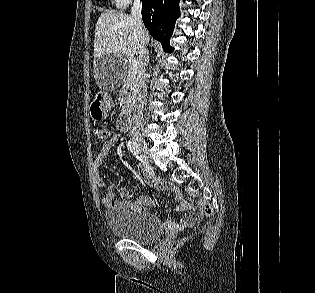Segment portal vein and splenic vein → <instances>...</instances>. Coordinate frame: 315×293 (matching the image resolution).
I'll return each instance as SVG.
<instances>
[{"instance_id":"1","label":"portal vein and splenic vein","mask_w":315,"mask_h":293,"mask_svg":"<svg viewBox=\"0 0 315 293\" xmlns=\"http://www.w3.org/2000/svg\"><path fill=\"white\" fill-rule=\"evenodd\" d=\"M138 69V63L136 61L132 62L130 65V71L131 73H135Z\"/></svg>"}]
</instances>
